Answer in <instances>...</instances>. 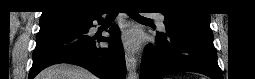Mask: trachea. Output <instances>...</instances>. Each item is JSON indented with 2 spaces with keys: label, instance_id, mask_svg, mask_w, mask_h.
Segmentation results:
<instances>
[{
  "label": "trachea",
  "instance_id": "3493384b",
  "mask_svg": "<svg viewBox=\"0 0 255 79\" xmlns=\"http://www.w3.org/2000/svg\"><path fill=\"white\" fill-rule=\"evenodd\" d=\"M128 15H129L132 19H134V20H136V21H150V19L145 18V17H142V16L139 15V14H130V13H128ZM116 16H117V13H115V12H110V13H108L107 18H115Z\"/></svg>",
  "mask_w": 255,
  "mask_h": 79
}]
</instances>
